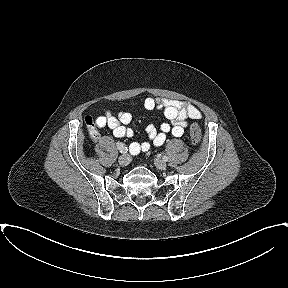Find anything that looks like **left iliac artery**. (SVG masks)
I'll return each instance as SVG.
<instances>
[{"label":"left iliac artery","instance_id":"44dca946","mask_svg":"<svg viewBox=\"0 0 288 288\" xmlns=\"http://www.w3.org/2000/svg\"><path fill=\"white\" fill-rule=\"evenodd\" d=\"M163 160L164 161H168V157L167 156H163Z\"/></svg>","mask_w":288,"mask_h":288}]
</instances>
